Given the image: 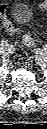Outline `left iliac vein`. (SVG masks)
Wrapping results in <instances>:
<instances>
[{
    "instance_id": "4c4485c4",
    "label": "left iliac vein",
    "mask_w": 47,
    "mask_h": 129,
    "mask_svg": "<svg viewBox=\"0 0 47 129\" xmlns=\"http://www.w3.org/2000/svg\"><path fill=\"white\" fill-rule=\"evenodd\" d=\"M35 52L37 54V57L40 58L42 61H45L47 58V53L43 49L35 48Z\"/></svg>"
}]
</instances>
